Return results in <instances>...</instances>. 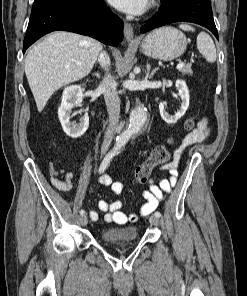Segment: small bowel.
Instances as JSON below:
<instances>
[{"instance_id": "c3829d8e", "label": "small bowel", "mask_w": 247, "mask_h": 296, "mask_svg": "<svg viewBox=\"0 0 247 296\" xmlns=\"http://www.w3.org/2000/svg\"><path fill=\"white\" fill-rule=\"evenodd\" d=\"M209 132V126L206 119H202L197 126V129L192 133L187 135L183 141L181 149L203 141ZM181 149L175 154L173 161L165 166V170L170 174L169 179L160 180L157 184L150 182L149 190L143 192V197L145 199V204L141 208V213L143 215H148L155 210L159 201L163 197V192L170 193L172 187L175 186L176 176H177V164L180 156ZM74 179L73 172H66L64 179L52 178V185L61 191H69L72 188V181ZM98 183L111 188L112 192L120 196L123 193L124 186L121 182L113 181L108 174H102L97 179ZM98 209L104 212V216L101 221L105 224H119L124 225L128 223L135 222L137 216L135 214H126L123 211V204L121 201L107 202L100 200L97 204ZM89 217L92 221H97L99 219V214L96 210L89 211Z\"/></svg>"}]
</instances>
